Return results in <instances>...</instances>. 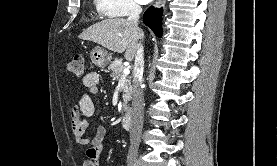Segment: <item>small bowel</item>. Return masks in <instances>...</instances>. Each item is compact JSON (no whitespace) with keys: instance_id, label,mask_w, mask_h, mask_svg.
Here are the masks:
<instances>
[{"instance_id":"1","label":"small bowel","mask_w":277,"mask_h":166,"mask_svg":"<svg viewBox=\"0 0 277 166\" xmlns=\"http://www.w3.org/2000/svg\"><path fill=\"white\" fill-rule=\"evenodd\" d=\"M82 83L84 92L78 103L74 104L70 109L71 130L75 143L84 154L83 166H99L106 128L99 126L93 136L87 137L85 135L88 119L95 112L92 95L98 92L99 75L95 72H90L84 76Z\"/></svg>"}]
</instances>
